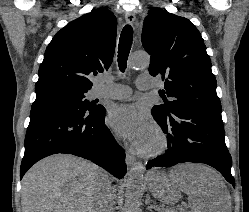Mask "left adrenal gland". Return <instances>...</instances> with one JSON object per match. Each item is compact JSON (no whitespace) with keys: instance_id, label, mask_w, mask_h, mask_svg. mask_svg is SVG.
I'll return each instance as SVG.
<instances>
[{"instance_id":"obj_1","label":"left adrenal gland","mask_w":249,"mask_h":212,"mask_svg":"<svg viewBox=\"0 0 249 212\" xmlns=\"http://www.w3.org/2000/svg\"><path fill=\"white\" fill-rule=\"evenodd\" d=\"M147 204V202H146ZM148 210H150V212H153V210H155V206H148Z\"/></svg>"}]
</instances>
